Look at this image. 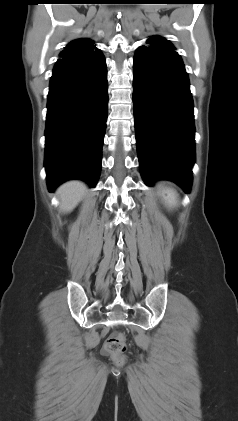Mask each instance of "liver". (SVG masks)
<instances>
[{"mask_svg": "<svg viewBox=\"0 0 238 421\" xmlns=\"http://www.w3.org/2000/svg\"><path fill=\"white\" fill-rule=\"evenodd\" d=\"M85 192L86 186L80 181H70L60 186L57 194L61 201V209L64 212L72 211L81 201Z\"/></svg>", "mask_w": 238, "mask_h": 421, "instance_id": "liver-1", "label": "liver"}]
</instances>
